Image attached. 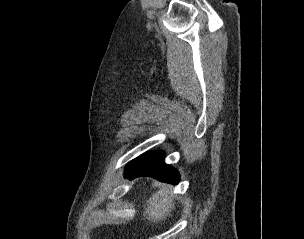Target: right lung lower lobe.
<instances>
[{
	"label": "right lung lower lobe",
	"mask_w": 304,
	"mask_h": 239,
	"mask_svg": "<svg viewBox=\"0 0 304 239\" xmlns=\"http://www.w3.org/2000/svg\"><path fill=\"white\" fill-rule=\"evenodd\" d=\"M164 152H150L134 159L126 166V177L151 176L162 182L177 184L180 180L176 169L164 163Z\"/></svg>",
	"instance_id": "98d812e1"
}]
</instances>
